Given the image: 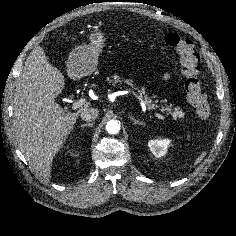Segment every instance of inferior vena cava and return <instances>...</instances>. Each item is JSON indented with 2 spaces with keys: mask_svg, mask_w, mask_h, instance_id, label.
<instances>
[{
  "mask_svg": "<svg viewBox=\"0 0 236 236\" xmlns=\"http://www.w3.org/2000/svg\"><path fill=\"white\" fill-rule=\"evenodd\" d=\"M99 115V110L96 108L88 107L80 111V117L82 120L90 122L95 120Z\"/></svg>",
  "mask_w": 236,
  "mask_h": 236,
  "instance_id": "602c4592",
  "label": "inferior vena cava"
}]
</instances>
